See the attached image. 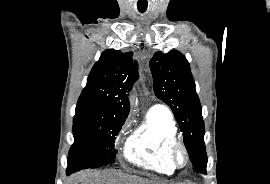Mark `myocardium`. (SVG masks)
Segmentation results:
<instances>
[{
	"label": "myocardium",
	"instance_id": "myocardium-1",
	"mask_svg": "<svg viewBox=\"0 0 270 184\" xmlns=\"http://www.w3.org/2000/svg\"><path fill=\"white\" fill-rule=\"evenodd\" d=\"M180 155H182L183 159H180ZM170 158L172 164L175 168H183L188 165L190 160V155L185 144L179 140H177L171 147Z\"/></svg>",
	"mask_w": 270,
	"mask_h": 184
}]
</instances>
